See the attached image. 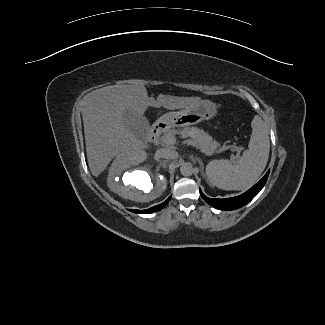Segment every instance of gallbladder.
I'll return each instance as SVG.
<instances>
[{
    "mask_svg": "<svg viewBox=\"0 0 325 325\" xmlns=\"http://www.w3.org/2000/svg\"><path fill=\"white\" fill-rule=\"evenodd\" d=\"M124 123L126 127L132 132V134L145 140L150 130V124L145 116L138 113L127 110L123 115Z\"/></svg>",
    "mask_w": 325,
    "mask_h": 325,
    "instance_id": "bac80fb5",
    "label": "gallbladder"
}]
</instances>
